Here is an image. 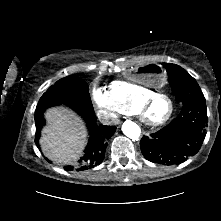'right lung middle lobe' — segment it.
<instances>
[{"instance_id": "1", "label": "right lung middle lobe", "mask_w": 221, "mask_h": 221, "mask_svg": "<svg viewBox=\"0 0 221 221\" xmlns=\"http://www.w3.org/2000/svg\"><path fill=\"white\" fill-rule=\"evenodd\" d=\"M66 104L78 112L91 108L89 87L85 81L74 76L65 77L48 88L40 98L35 116L53 105Z\"/></svg>"}]
</instances>
